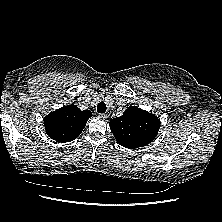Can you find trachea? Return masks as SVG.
I'll list each match as a JSON object with an SVG mask.
<instances>
[{
	"mask_svg": "<svg viewBox=\"0 0 222 222\" xmlns=\"http://www.w3.org/2000/svg\"><path fill=\"white\" fill-rule=\"evenodd\" d=\"M106 109H107V107H106V104L104 102L98 103V105H97V112L98 113L103 114V113L106 112Z\"/></svg>",
	"mask_w": 222,
	"mask_h": 222,
	"instance_id": "obj_1",
	"label": "trachea"
}]
</instances>
